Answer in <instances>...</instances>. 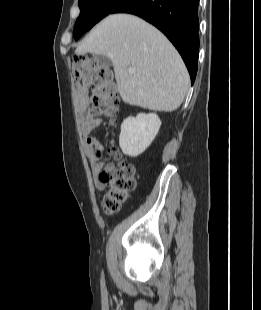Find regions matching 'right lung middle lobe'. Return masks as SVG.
I'll return each instance as SVG.
<instances>
[{"label": "right lung middle lobe", "mask_w": 261, "mask_h": 310, "mask_svg": "<svg viewBox=\"0 0 261 310\" xmlns=\"http://www.w3.org/2000/svg\"><path fill=\"white\" fill-rule=\"evenodd\" d=\"M124 0H79L80 15L74 27V39L78 40L102 18L110 14Z\"/></svg>", "instance_id": "dd1d6c3e"}]
</instances>
